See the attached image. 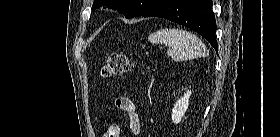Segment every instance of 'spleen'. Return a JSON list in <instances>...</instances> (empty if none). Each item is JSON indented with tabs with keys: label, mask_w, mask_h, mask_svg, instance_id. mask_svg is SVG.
<instances>
[{
	"label": "spleen",
	"mask_w": 280,
	"mask_h": 137,
	"mask_svg": "<svg viewBox=\"0 0 280 137\" xmlns=\"http://www.w3.org/2000/svg\"><path fill=\"white\" fill-rule=\"evenodd\" d=\"M151 43H163L167 54L175 61H186L206 57L208 50L204 43L193 33L179 28H163L149 35Z\"/></svg>",
	"instance_id": "1"
}]
</instances>
